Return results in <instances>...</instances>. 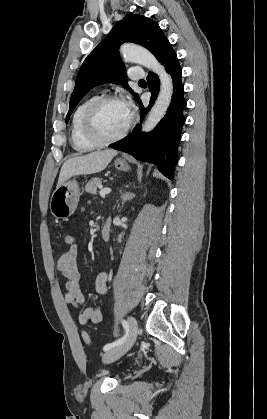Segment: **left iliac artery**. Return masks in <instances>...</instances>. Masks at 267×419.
Wrapping results in <instances>:
<instances>
[{
    "instance_id": "left-iliac-artery-1",
    "label": "left iliac artery",
    "mask_w": 267,
    "mask_h": 419,
    "mask_svg": "<svg viewBox=\"0 0 267 419\" xmlns=\"http://www.w3.org/2000/svg\"><path fill=\"white\" fill-rule=\"evenodd\" d=\"M122 325H123V327H124V329H125V334H124V336H123V337H121L120 339H118V340H116V341L112 342V343H108V344H106V345L104 346V348H103V350H104V351H108V350H110V349H112V348H114V347H116V346H118V345H120L121 343H123V342H124V340L126 339V337H127V335H128V332H129V326H128V323H127V321H126V320H122Z\"/></svg>"
}]
</instances>
